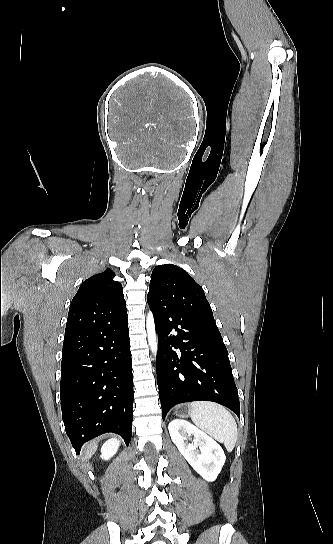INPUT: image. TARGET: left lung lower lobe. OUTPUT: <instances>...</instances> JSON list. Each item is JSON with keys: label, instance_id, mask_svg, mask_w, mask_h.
Instances as JSON below:
<instances>
[{"label": "left lung lower lobe", "instance_id": "1", "mask_svg": "<svg viewBox=\"0 0 333 544\" xmlns=\"http://www.w3.org/2000/svg\"><path fill=\"white\" fill-rule=\"evenodd\" d=\"M150 306L158 333L157 384L163 419L176 404L213 401L240 417L228 352L216 324Z\"/></svg>", "mask_w": 333, "mask_h": 544}]
</instances>
